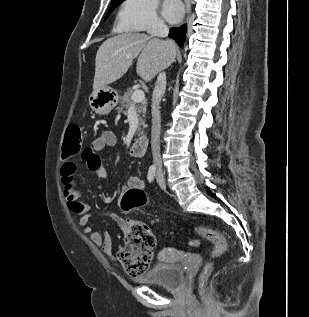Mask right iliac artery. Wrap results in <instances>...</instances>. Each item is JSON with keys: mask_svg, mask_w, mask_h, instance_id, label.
I'll use <instances>...</instances> for the list:
<instances>
[{"mask_svg": "<svg viewBox=\"0 0 309 317\" xmlns=\"http://www.w3.org/2000/svg\"><path fill=\"white\" fill-rule=\"evenodd\" d=\"M155 175H156V168L155 166H150L149 171H148V181L149 182H153L155 179Z\"/></svg>", "mask_w": 309, "mask_h": 317, "instance_id": "82829eb1", "label": "right iliac artery"}]
</instances>
